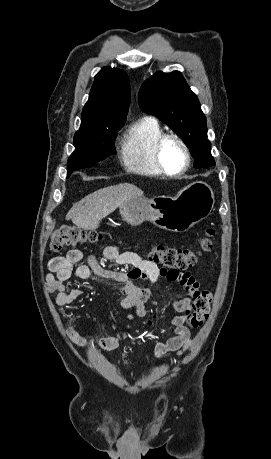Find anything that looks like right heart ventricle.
<instances>
[{"label": "right heart ventricle", "mask_w": 271, "mask_h": 459, "mask_svg": "<svg viewBox=\"0 0 271 459\" xmlns=\"http://www.w3.org/2000/svg\"><path fill=\"white\" fill-rule=\"evenodd\" d=\"M162 133V126L152 117H143L132 125L120 151L127 171L149 177L165 176L153 158L154 142Z\"/></svg>", "instance_id": "right-heart-ventricle-1"}]
</instances>
